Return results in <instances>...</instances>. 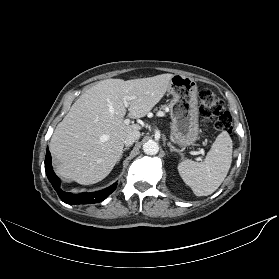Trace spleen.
Segmentation results:
<instances>
[{"label":"spleen","instance_id":"3e777b00","mask_svg":"<svg viewBox=\"0 0 279 279\" xmlns=\"http://www.w3.org/2000/svg\"><path fill=\"white\" fill-rule=\"evenodd\" d=\"M232 148V139L224 131L217 136L203 162L188 159L178 164L181 178L196 196H208L222 184L231 166Z\"/></svg>","mask_w":279,"mask_h":279}]
</instances>
